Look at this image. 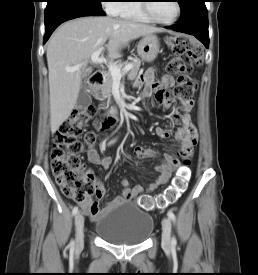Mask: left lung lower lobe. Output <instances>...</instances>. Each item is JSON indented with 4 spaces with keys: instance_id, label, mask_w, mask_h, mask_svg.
<instances>
[{
    "instance_id": "obj_1",
    "label": "left lung lower lobe",
    "mask_w": 258,
    "mask_h": 275,
    "mask_svg": "<svg viewBox=\"0 0 258 275\" xmlns=\"http://www.w3.org/2000/svg\"><path fill=\"white\" fill-rule=\"evenodd\" d=\"M166 28L194 35L208 48V11L205 6V0H189L182 9L180 22L177 25Z\"/></svg>"
}]
</instances>
